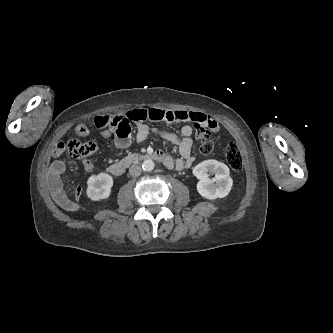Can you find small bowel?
<instances>
[{
    "instance_id": "c3829d8e",
    "label": "small bowel",
    "mask_w": 333,
    "mask_h": 333,
    "mask_svg": "<svg viewBox=\"0 0 333 333\" xmlns=\"http://www.w3.org/2000/svg\"><path fill=\"white\" fill-rule=\"evenodd\" d=\"M128 116V122L130 131L126 135H120L115 133L112 129H106L102 131V136L108 138L114 137V142L117 148L124 149L128 147L131 141V126L136 127V139L139 142H143L150 138L153 134H158L167 141L178 145V150L181 155L180 158L173 160L170 156H166L167 168H174L176 170H183L189 168L194 163V157L192 156L193 140L191 138L193 129L190 123L203 125L212 132L219 131L218 123L210 116L202 112L186 111V110H172V109H132L126 113ZM159 117V120L156 118ZM166 121L170 124L186 123L180 131L179 135L171 132H166L158 129H153L146 124V121ZM84 169L87 172H91L94 168L92 161L86 159L83 161ZM65 170V162L62 160H55L49 167L47 183L50 188L53 199L58 205L65 209H71L75 201H78L81 196V189L77 188L73 192V198L70 200L64 190L61 174Z\"/></svg>"
}]
</instances>
